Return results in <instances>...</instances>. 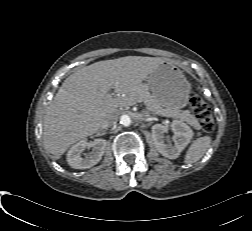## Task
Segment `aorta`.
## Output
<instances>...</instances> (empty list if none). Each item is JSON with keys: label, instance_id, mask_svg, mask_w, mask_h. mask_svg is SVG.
I'll return each mask as SVG.
<instances>
[{"label": "aorta", "instance_id": "obj_1", "mask_svg": "<svg viewBox=\"0 0 252 231\" xmlns=\"http://www.w3.org/2000/svg\"><path fill=\"white\" fill-rule=\"evenodd\" d=\"M120 122L124 126H129L131 124V118L128 115H122L120 117Z\"/></svg>", "mask_w": 252, "mask_h": 231}]
</instances>
